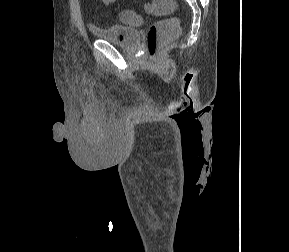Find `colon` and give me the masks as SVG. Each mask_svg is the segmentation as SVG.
Segmentation results:
<instances>
[{"mask_svg": "<svg viewBox=\"0 0 289 252\" xmlns=\"http://www.w3.org/2000/svg\"><path fill=\"white\" fill-rule=\"evenodd\" d=\"M145 9L154 15H169L175 9L174 0H150ZM122 20L129 25H139L142 18L133 11H124L121 14ZM179 21L176 18H166L153 23L146 36V46L149 57L156 60L161 48L174 39L179 33Z\"/></svg>", "mask_w": 289, "mask_h": 252, "instance_id": "1", "label": "colon"}]
</instances>
